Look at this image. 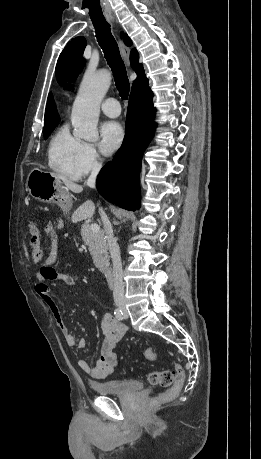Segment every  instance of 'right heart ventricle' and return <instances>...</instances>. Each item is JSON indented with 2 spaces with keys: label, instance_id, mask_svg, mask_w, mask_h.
<instances>
[{
  "label": "right heart ventricle",
  "instance_id": "1",
  "mask_svg": "<svg viewBox=\"0 0 261 459\" xmlns=\"http://www.w3.org/2000/svg\"><path fill=\"white\" fill-rule=\"evenodd\" d=\"M81 144L82 141L73 136L66 125L59 127L51 136L48 144L49 167L64 178L79 179L77 158Z\"/></svg>",
  "mask_w": 261,
  "mask_h": 459
}]
</instances>
